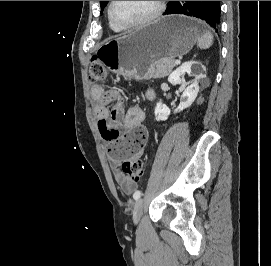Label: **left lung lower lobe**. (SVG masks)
Instances as JSON below:
<instances>
[{"instance_id":"0a47b994","label":"left lung lower lobe","mask_w":271,"mask_h":266,"mask_svg":"<svg viewBox=\"0 0 271 266\" xmlns=\"http://www.w3.org/2000/svg\"><path fill=\"white\" fill-rule=\"evenodd\" d=\"M166 14H184L206 21L216 32L220 26V1H170Z\"/></svg>"}]
</instances>
